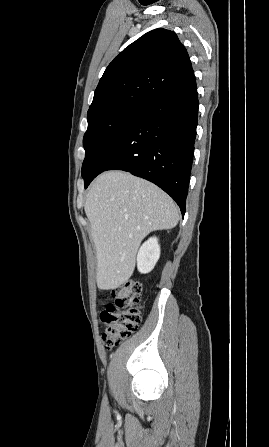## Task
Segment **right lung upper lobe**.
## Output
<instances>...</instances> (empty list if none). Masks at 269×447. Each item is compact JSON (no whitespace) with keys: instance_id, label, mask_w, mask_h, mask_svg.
<instances>
[{"instance_id":"1","label":"right lung upper lobe","mask_w":269,"mask_h":447,"mask_svg":"<svg viewBox=\"0 0 269 447\" xmlns=\"http://www.w3.org/2000/svg\"><path fill=\"white\" fill-rule=\"evenodd\" d=\"M192 68L186 48L170 30H152L125 48L107 67L87 118L123 106L142 105Z\"/></svg>"}]
</instances>
